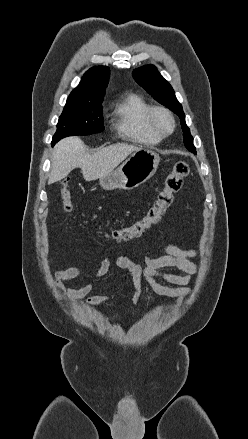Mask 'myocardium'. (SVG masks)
Here are the masks:
<instances>
[{
  "mask_svg": "<svg viewBox=\"0 0 248 439\" xmlns=\"http://www.w3.org/2000/svg\"><path fill=\"white\" fill-rule=\"evenodd\" d=\"M164 116L167 118L168 122H169V129L168 130H163L160 128L158 120L159 117ZM149 122H150V126L153 129L154 132H156L159 136L161 137H166L171 135L176 127V122H175V118L172 114V112L162 106H156V107H152L150 113H149Z\"/></svg>",
  "mask_w": 248,
  "mask_h": 439,
  "instance_id": "obj_1",
  "label": "myocardium"
}]
</instances>
